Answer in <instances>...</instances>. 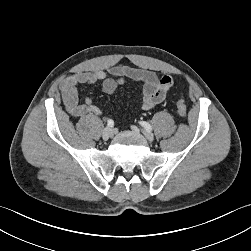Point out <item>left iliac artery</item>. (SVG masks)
Returning a JSON list of instances; mask_svg holds the SVG:
<instances>
[{
    "label": "left iliac artery",
    "mask_w": 251,
    "mask_h": 251,
    "mask_svg": "<svg viewBox=\"0 0 251 251\" xmlns=\"http://www.w3.org/2000/svg\"><path fill=\"white\" fill-rule=\"evenodd\" d=\"M139 124L144 127L145 130L147 131H152V126L148 123V122H145V121H140Z\"/></svg>",
    "instance_id": "1"
}]
</instances>
